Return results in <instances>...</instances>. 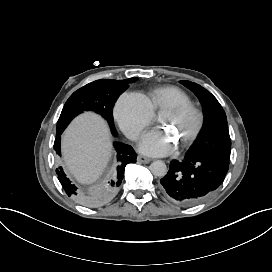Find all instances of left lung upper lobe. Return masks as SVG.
<instances>
[{"instance_id": "5c2ea615", "label": "left lung upper lobe", "mask_w": 272, "mask_h": 272, "mask_svg": "<svg viewBox=\"0 0 272 272\" xmlns=\"http://www.w3.org/2000/svg\"><path fill=\"white\" fill-rule=\"evenodd\" d=\"M180 83L189 88L198 97L205 115L204 129L189 155H218L230 159L231 140L226 114L222 106L202 86L187 80H182Z\"/></svg>"}]
</instances>
